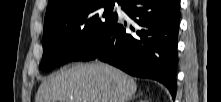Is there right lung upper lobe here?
<instances>
[{"label":"right lung upper lobe","instance_id":"cb5924a9","mask_svg":"<svg viewBox=\"0 0 221 102\" xmlns=\"http://www.w3.org/2000/svg\"><path fill=\"white\" fill-rule=\"evenodd\" d=\"M75 1H88V0H49L48 7L45 14V21L52 18L61 10L70 6ZM122 0H119L121 2Z\"/></svg>","mask_w":221,"mask_h":102}]
</instances>
